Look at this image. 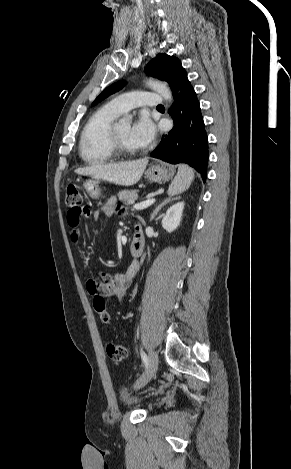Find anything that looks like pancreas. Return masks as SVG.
Masks as SVG:
<instances>
[{
    "mask_svg": "<svg viewBox=\"0 0 291 469\" xmlns=\"http://www.w3.org/2000/svg\"><path fill=\"white\" fill-rule=\"evenodd\" d=\"M118 198L120 201L124 202L126 205L133 204L134 201L138 198V191L136 190H124L118 193Z\"/></svg>",
    "mask_w": 291,
    "mask_h": 469,
    "instance_id": "1",
    "label": "pancreas"
}]
</instances>
